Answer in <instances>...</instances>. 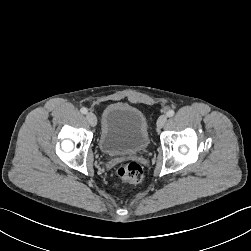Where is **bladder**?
I'll return each mask as SVG.
<instances>
[{
    "instance_id": "1",
    "label": "bladder",
    "mask_w": 251,
    "mask_h": 251,
    "mask_svg": "<svg viewBox=\"0 0 251 251\" xmlns=\"http://www.w3.org/2000/svg\"><path fill=\"white\" fill-rule=\"evenodd\" d=\"M149 143L148 123L138 108L115 102L103 110L98 144L104 154H136L145 151Z\"/></svg>"
}]
</instances>
